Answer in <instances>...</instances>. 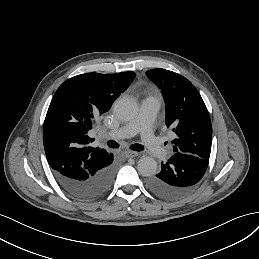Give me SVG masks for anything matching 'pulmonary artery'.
<instances>
[{"label": "pulmonary artery", "instance_id": "e3ab8cb5", "mask_svg": "<svg viewBox=\"0 0 259 259\" xmlns=\"http://www.w3.org/2000/svg\"><path fill=\"white\" fill-rule=\"evenodd\" d=\"M162 104L163 98L158 94L143 99L138 112L133 117L124 120L119 129L110 131L108 136L112 138L128 137L134 134L136 127L149 126ZM98 136H102L101 130H98Z\"/></svg>", "mask_w": 259, "mask_h": 259}]
</instances>
